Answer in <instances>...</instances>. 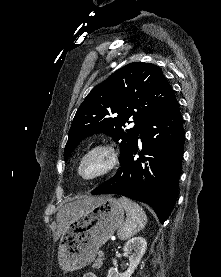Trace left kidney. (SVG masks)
Wrapping results in <instances>:
<instances>
[{
	"label": "left kidney",
	"mask_w": 221,
	"mask_h": 277,
	"mask_svg": "<svg viewBox=\"0 0 221 277\" xmlns=\"http://www.w3.org/2000/svg\"><path fill=\"white\" fill-rule=\"evenodd\" d=\"M147 242L143 237H134L128 240L123 248L129 255V267L124 273L116 268H110L107 277H131L146 252Z\"/></svg>",
	"instance_id": "5707ae66"
}]
</instances>
